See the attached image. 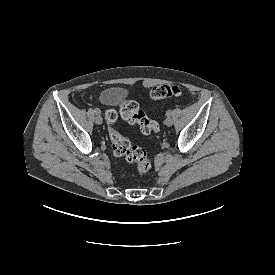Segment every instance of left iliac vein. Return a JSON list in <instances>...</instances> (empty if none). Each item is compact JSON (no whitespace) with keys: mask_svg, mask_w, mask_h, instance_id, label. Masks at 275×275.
Returning <instances> with one entry per match:
<instances>
[{"mask_svg":"<svg viewBox=\"0 0 275 275\" xmlns=\"http://www.w3.org/2000/svg\"><path fill=\"white\" fill-rule=\"evenodd\" d=\"M173 124V120L170 117H167L165 120V125L166 126H171Z\"/></svg>","mask_w":275,"mask_h":275,"instance_id":"obj_1","label":"left iliac vein"}]
</instances>
